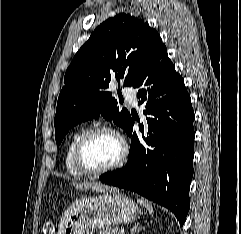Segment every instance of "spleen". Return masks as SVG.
<instances>
[{"label": "spleen", "mask_w": 241, "mask_h": 234, "mask_svg": "<svg viewBox=\"0 0 241 234\" xmlns=\"http://www.w3.org/2000/svg\"><path fill=\"white\" fill-rule=\"evenodd\" d=\"M138 202H139L141 205H144V206L149 210V213H150V214H153V208H152V206H151L147 201H145L144 199H139Z\"/></svg>", "instance_id": "spleen-1"}]
</instances>
